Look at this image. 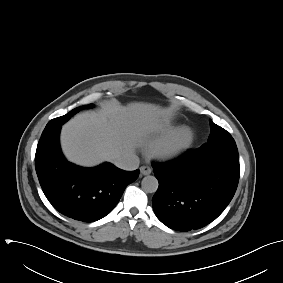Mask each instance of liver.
Here are the masks:
<instances>
[{
  "mask_svg": "<svg viewBox=\"0 0 283 283\" xmlns=\"http://www.w3.org/2000/svg\"><path fill=\"white\" fill-rule=\"evenodd\" d=\"M168 116L166 109L139 102L78 114L62 127V150L69 161L82 166L115 161L134 153Z\"/></svg>",
  "mask_w": 283,
  "mask_h": 283,
  "instance_id": "obj_1",
  "label": "liver"
}]
</instances>
